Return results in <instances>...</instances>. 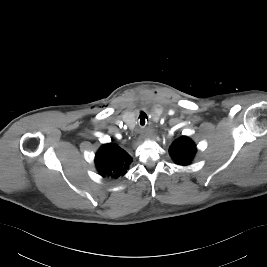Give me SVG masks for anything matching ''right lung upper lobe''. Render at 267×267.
<instances>
[{
    "label": "right lung upper lobe",
    "mask_w": 267,
    "mask_h": 267,
    "mask_svg": "<svg viewBox=\"0 0 267 267\" xmlns=\"http://www.w3.org/2000/svg\"><path fill=\"white\" fill-rule=\"evenodd\" d=\"M132 162L130 155L113 143L104 144L96 153L95 164L103 178L124 176Z\"/></svg>",
    "instance_id": "right-lung-upper-lobe-1"
}]
</instances>
